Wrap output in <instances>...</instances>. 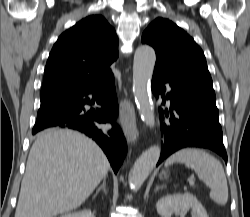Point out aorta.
<instances>
[{
	"label": "aorta",
	"instance_id": "aorta-1",
	"mask_svg": "<svg viewBox=\"0 0 250 217\" xmlns=\"http://www.w3.org/2000/svg\"><path fill=\"white\" fill-rule=\"evenodd\" d=\"M156 54L152 47L143 45L137 48L133 63V94L142 120L147 126H155V118L150 93V80L153 75ZM161 153L158 145L151 146L136 160L129 173V185L137 191L155 168Z\"/></svg>",
	"mask_w": 250,
	"mask_h": 217
}]
</instances>
